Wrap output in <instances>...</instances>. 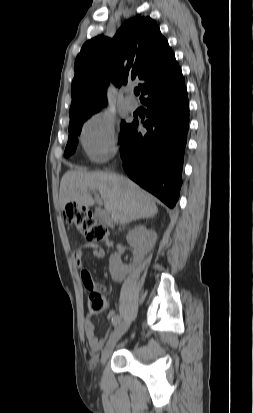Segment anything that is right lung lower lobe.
I'll list each match as a JSON object with an SVG mask.
<instances>
[{"label":"right lung lower lobe","instance_id":"98d812e1","mask_svg":"<svg viewBox=\"0 0 253 413\" xmlns=\"http://www.w3.org/2000/svg\"><path fill=\"white\" fill-rule=\"evenodd\" d=\"M146 134L133 121L120 141V155L127 175L173 208L182 183L183 155L189 124L185 85L176 92L147 98Z\"/></svg>","mask_w":253,"mask_h":413}]
</instances>
